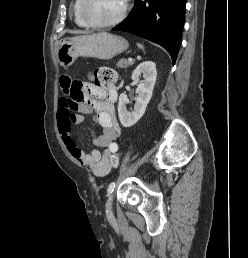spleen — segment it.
<instances>
[{
    "mask_svg": "<svg viewBox=\"0 0 248 258\" xmlns=\"http://www.w3.org/2000/svg\"><path fill=\"white\" fill-rule=\"evenodd\" d=\"M137 46H138L140 49H142V50L144 49V46L141 45V44H139V43L137 44Z\"/></svg>",
    "mask_w": 248,
    "mask_h": 258,
    "instance_id": "1",
    "label": "spleen"
}]
</instances>
